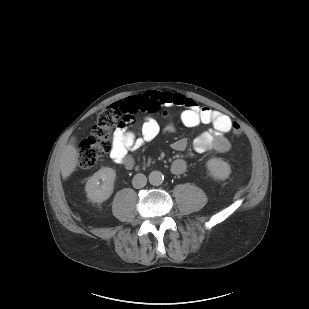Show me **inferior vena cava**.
Segmentation results:
<instances>
[{
	"label": "inferior vena cava",
	"mask_w": 309,
	"mask_h": 309,
	"mask_svg": "<svg viewBox=\"0 0 309 309\" xmlns=\"http://www.w3.org/2000/svg\"><path fill=\"white\" fill-rule=\"evenodd\" d=\"M147 183V178L144 174H136L132 179L133 187L136 189L143 188Z\"/></svg>",
	"instance_id": "602c4592"
}]
</instances>
